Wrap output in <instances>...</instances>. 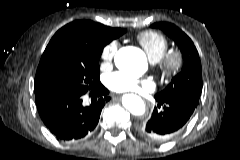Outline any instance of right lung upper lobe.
I'll return each mask as SVG.
<instances>
[{
  "instance_id": "1",
  "label": "right lung upper lobe",
  "mask_w": 240,
  "mask_h": 160,
  "mask_svg": "<svg viewBox=\"0 0 240 160\" xmlns=\"http://www.w3.org/2000/svg\"><path fill=\"white\" fill-rule=\"evenodd\" d=\"M70 25H84L85 28L89 30V32L94 36H109L120 28H111L107 26H103L98 23H94L92 21H75L70 23Z\"/></svg>"
}]
</instances>
